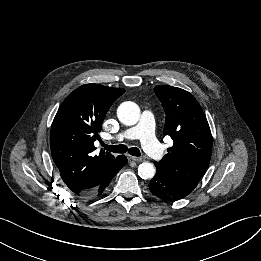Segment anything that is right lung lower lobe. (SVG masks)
I'll use <instances>...</instances> for the list:
<instances>
[{
  "instance_id": "obj_1",
  "label": "right lung lower lobe",
  "mask_w": 261,
  "mask_h": 261,
  "mask_svg": "<svg viewBox=\"0 0 261 261\" xmlns=\"http://www.w3.org/2000/svg\"><path fill=\"white\" fill-rule=\"evenodd\" d=\"M127 164V158L124 155L119 156L115 162L112 164V166L107 171L106 175L104 176L101 183L92 189L90 192H88L85 196L82 198H93L96 196H99L103 194L108 185L110 184L112 178L119 172V170L124 167Z\"/></svg>"
}]
</instances>
